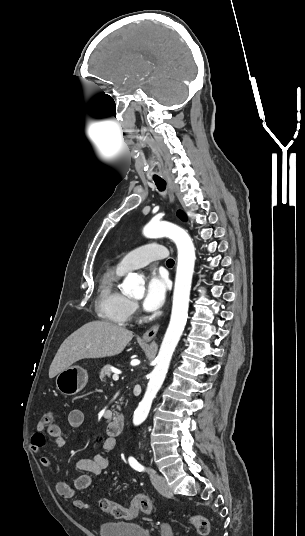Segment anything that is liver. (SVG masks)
<instances>
[{
	"label": "liver",
	"instance_id": "6515ba94",
	"mask_svg": "<svg viewBox=\"0 0 305 536\" xmlns=\"http://www.w3.org/2000/svg\"><path fill=\"white\" fill-rule=\"evenodd\" d=\"M132 338L133 332L116 324L89 322L61 344L49 368V378H55L83 358H106L121 354Z\"/></svg>",
	"mask_w": 305,
	"mask_h": 536
}]
</instances>
